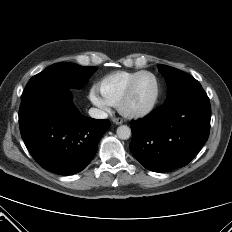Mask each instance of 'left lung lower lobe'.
<instances>
[{
    "mask_svg": "<svg viewBox=\"0 0 232 232\" xmlns=\"http://www.w3.org/2000/svg\"><path fill=\"white\" fill-rule=\"evenodd\" d=\"M211 107L202 86L166 101L143 119L131 121L132 155L148 170L187 165L208 139Z\"/></svg>",
    "mask_w": 232,
    "mask_h": 232,
    "instance_id": "left-lung-lower-lobe-1",
    "label": "left lung lower lobe"
}]
</instances>
